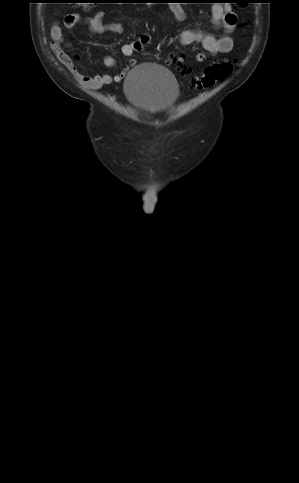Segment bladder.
Here are the masks:
<instances>
[{"label":"bladder","mask_w":299,"mask_h":483,"mask_svg":"<svg viewBox=\"0 0 299 483\" xmlns=\"http://www.w3.org/2000/svg\"><path fill=\"white\" fill-rule=\"evenodd\" d=\"M124 93L135 107L146 112H158L178 100L179 87L169 70L154 63H142L127 74Z\"/></svg>","instance_id":"1"}]
</instances>
